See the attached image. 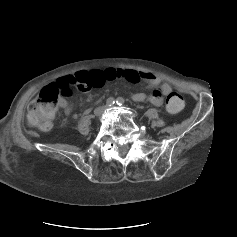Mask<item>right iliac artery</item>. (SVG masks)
Masks as SVG:
<instances>
[{
    "label": "right iliac artery",
    "mask_w": 237,
    "mask_h": 237,
    "mask_svg": "<svg viewBox=\"0 0 237 237\" xmlns=\"http://www.w3.org/2000/svg\"><path fill=\"white\" fill-rule=\"evenodd\" d=\"M106 103L108 106H113L115 104V100L114 98L110 97L107 99Z\"/></svg>",
    "instance_id": "82829eb1"
}]
</instances>
